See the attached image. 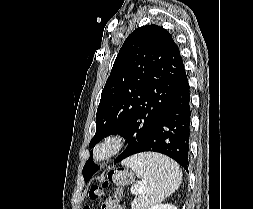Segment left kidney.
<instances>
[{"instance_id":"left-kidney-1","label":"left kidney","mask_w":253,"mask_h":209,"mask_svg":"<svg viewBox=\"0 0 253 209\" xmlns=\"http://www.w3.org/2000/svg\"><path fill=\"white\" fill-rule=\"evenodd\" d=\"M148 209H177V207L172 204H155L148 207Z\"/></svg>"}]
</instances>
